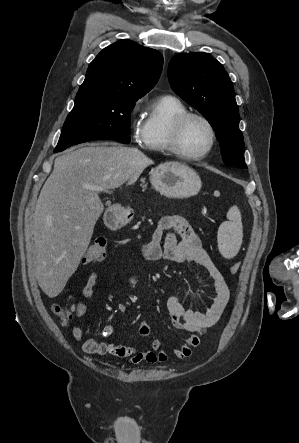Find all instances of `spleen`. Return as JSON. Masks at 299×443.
Here are the masks:
<instances>
[{"label": "spleen", "instance_id": "3e777b00", "mask_svg": "<svg viewBox=\"0 0 299 443\" xmlns=\"http://www.w3.org/2000/svg\"><path fill=\"white\" fill-rule=\"evenodd\" d=\"M227 219L218 229V248L223 257L231 259L239 252L243 238L241 213L237 206L229 209Z\"/></svg>", "mask_w": 299, "mask_h": 443}]
</instances>
